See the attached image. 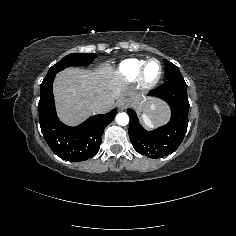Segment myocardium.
Returning <instances> with one entry per match:
<instances>
[{"label":"myocardium","mask_w":236,"mask_h":236,"mask_svg":"<svg viewBox=\"0 0 236 236\" xmlns=\"http://www.w3.org/2000/svg\"><path fill=\"white\" fill-rule=\"evenodd\" d=\"M153 61H157L160 64V66H161V73L158 76V78L155 79L154 81H147L146 77H145L146 76V70H147L148 65L151 62H153ZM163 76H164V66H163V63L159 59H157V58L148 59L144 63V65H143V67H142V69H141V71L139 73V76L137 78L138 85L143 90L154 89L160 83V81L162 80Z\"/></svg>","instance_id":"obj_1"}]
</instances>
